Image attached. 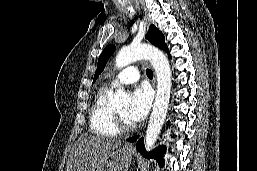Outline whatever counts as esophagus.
Listing matches in <instances>:
<instances>
[{"label":"esophagus","mask_w":257,"mask_h":171,"mask_svg":"<svg viewBox=\"0 0 257 171\" xmlns=\"http://www.w3.org/2000/svg\"><path fill=\"white\" fill-rule=\"evenodd\" d=\"M137 7L139 8V6H138V5H137ZM132 148H133V146H132V145L127 146V149H129V150H132Z\"/></svg>","instance_id":"1"}]
</instances>
